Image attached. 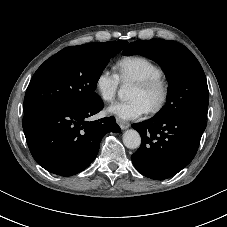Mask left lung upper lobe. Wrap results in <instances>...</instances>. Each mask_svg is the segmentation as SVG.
I'll use <instances>...</instances> for the list:
<instances>
[{"instance_id": "obj_1", "label": "left lung upper lobe", "mask_w": 227, "mask_h": 227, "mask_svg": "<svg viewBox=\"0 0 227 227\" xmlns=\"http://www.w3.org/2000/svg\"><path fill=\"white\" fill-rule=\"evenodd\" d=\"M139 54L157 62L169 81L167 103L153 117L193 116L206 121L209 91L204 71L184 45L170 40H137L123 55Z\"/></svg>"}]
</instances>
